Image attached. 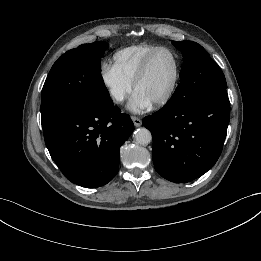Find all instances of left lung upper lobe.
Wrapping results in <instances>:
<instances>
[{"instance_id": "5c2ea615", "label": "left lung upper lobe", "mask_w": 261, "mask_h": 261, "mask_svg": "<svg viewBox=\"0 0 261 261\" xmlns=\"http://www.w3.org/2000/svg\"><path fill=\"white\" fill-rule=\"evenodd\" d=\"M172 44L182 51L184 62L181 83L168 104L182 106L198 96L227 88L220 67L201 45L193 41H172Z\"/></svg>"}]
</instances>
